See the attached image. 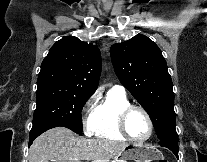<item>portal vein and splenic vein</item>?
<instances>
[{"label": "portal vein and splenic vein", "instance_id": "obj_1", "mask_svg": "<svg viewBox=\"0 0 207 162\" xmlns=\"http://www.w3.org/2000/svg\"><path fill=\"white\" fill-rule=\"evenodd\" d=\"M93 162H105V161H98V160H96V161H93Z\"/></svg>", "mask_w": 207, "mask_h": 162}]
</instances>
